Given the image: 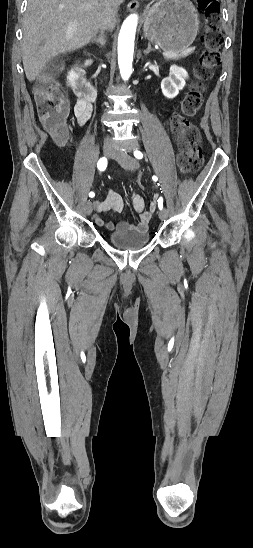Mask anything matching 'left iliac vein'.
Returning <instances> with one entry per match:
<instances>
[{"mask_svg": "<svg viewBox=\"0 0 253 548\" xmlns=\"http://www.w3.org/2000/svg\"><path fill=\"white\" fill-rule=\"evenodd\" d=\"M113 157L123 168L127 170H135L139 167L138 161L125 151L115 150ZM158 215L161 220H165L168 217V212L165 209L160 210Z\"/></svg>", "mask_w": 253, "mask_h": 548, "instance_id": "left-iliac-vein-1", "label": "left iliac vein"}]
</instances>
